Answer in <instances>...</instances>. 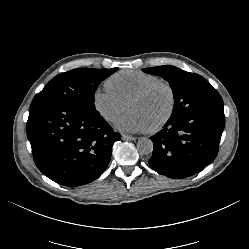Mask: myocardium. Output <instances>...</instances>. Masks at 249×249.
I'll return each instance as SVG.
<instances>
[{
    "label": "myocardium",
    "mask_w": 249,
    "mask_h": 249,
    "mask_svg": "<svg viewBox=\"0 0 249 249\" xmlns=\"http://www.w3.org/2000/svg\"><path fill=\"white\" fill-rule=\"evenodd\" d=\"M158 88H163L164 90H166V92L168 93V96H169L170 105H169V109H168L166 115L159 121V123L156 124L154 127H151L148 129L149 133L159 132L164 127H166L167 124L172 119V117L175 113V110H176V106H177V98H176V93H175L174 88L172 87V85L170 83L163 81V80H158V81L152 82V83L146 85L145 87H143L142 89H140L138 92L133 94L129 98V101H128V103H129L133 100H138V99L144 98V97L150 95L153 91H155Z\"/></svg>",
    "instance_id": "myocardium-1"
}]
</instances>
